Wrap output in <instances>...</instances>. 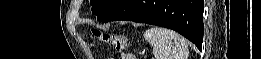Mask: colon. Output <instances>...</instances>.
<instances>
[{
    "label": "colon",
    "instance_id": "5ec220e1",
    "mask_svg": "<svg viewBox=\"0 0 261 59\" xmlns=\"http://www.w3.org/2000/svg\"><path fill=\"white\" fill-rule=\"evenodd\" d=\"M94 35L109 45L115 46L118 51H122L126 46V40L124 37L111 33H101L95 30ZM122 58H129L128 56L123 55Z\"/></svg>",
    "mask_w": 261,
    "mask_h": 59
}]
</instances>
